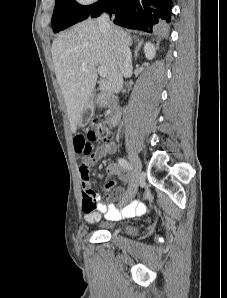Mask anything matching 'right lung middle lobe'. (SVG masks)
I'll list each match as a JSON object with an SVG mask.
<instances>
[{"label": "right lung middle lobe", "mask_w": 227, "mask_h": 298, "mask_svg": "<svg viewBox=\"0 0 227 298\" xmlns=\"http://www.w3.org/2000/svg\"><path fill=\"white\" fill-rule=\"evenodd\" d=\"M106 0H99L93 5L82 6L75 0H55L52 16L54 32H59L86 19L92 12L100 8Z\"/></svg>", "instance_id": "1"}]
</instances>
